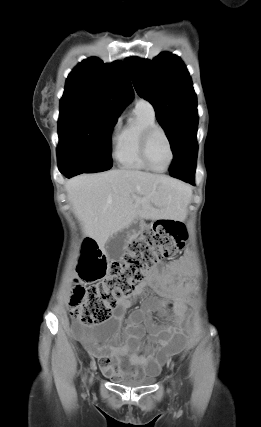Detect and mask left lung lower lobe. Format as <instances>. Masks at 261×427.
I'll return each mask as SVG.
<instances>
[{"instance_id": "obj_1", "label": "left lung lower lobe", "mask_w": 261, "mask_h": 427, "mask_svg": "<svg viewBox=\"0 0 261 427\" xmlns=\"http://www.w3.org/2000/svg\"><path fill=\"white\" fill-rule=\"evenodd\" d=\"M197 160L196 133L186 137L174 155L170 168L172 177L194 184L195 168Z\"/></svg>"}]
</instances>
